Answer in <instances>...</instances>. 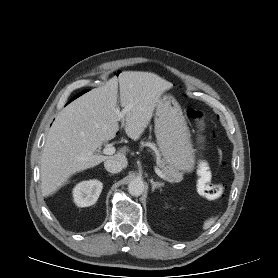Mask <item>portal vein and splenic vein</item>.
<instances>
[{
	"instance_id": "portal-vein-and-splenic-vein-1",
	"label": "portal vein and splenic vein",
	"mask_w": 278,
	"mask_h": 278,
	"mask_svg": "<svg viewBox=\"0 0 278 278\" xmlns=\"http://www.w3.org/2000/svg\"><path fill=\"white\" fill-rule=\"evenodd\" d=\"M130 108H131L130 106H127V107H125L122 111H117V114H118V117H119L120 120L123 121V119H124V114H125L127 111H129ZM115 151H116L115 147H113V146H107V147H105V148L103 149V154H105V155H113V154L115 153ZM155 172H156V174H157L160 178H162L163 180H165V181H167V182H169V183H172V181L169 180V179L162 173V171L159 170L158 168H155Z\"/></svg>"
}]
</instances>
